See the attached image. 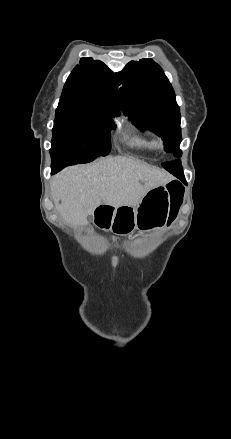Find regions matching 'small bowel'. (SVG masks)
Returning <instances> with one entry per match:
<instances>
[{
    "instance_id": "c3829d8e",
    "label": "small bowel",
    "mask_w": 231,
    "mask_h": 439,
    "mask_svg": "<svg viewBox=\"0 0 231 439\" xmlns=\"http://www.w3.org/2000/svg\"><path fill=\"white\" fill-rule=\"evenodd\" d=\"M125 208H126V209H131V210H132V208H129V207H127V206H126Z\"/></svg>"
}]
</instances>
